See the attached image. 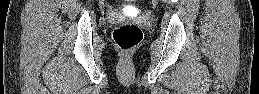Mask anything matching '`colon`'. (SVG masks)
Here are the masks:
<instances>
[{
    "mask_svg": "<svg viewBox=\"0 0 259 94\" xmlns=\"http://www.w3.org/2000/svg\"><path fill=\"white\" fill-rule=\"evenodd\" d=\"M143 37L141 29L133 23H123L113 31V40L116 46L125 53L135 49Z\"/></svg>",
    "mask_w": 259,
    "mask_h": 94,
    "instance_id": "colon-1",
    "label": "colon"
}]
</instances>
